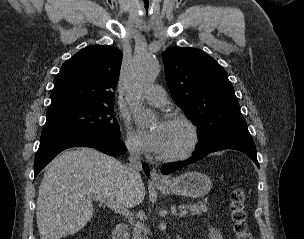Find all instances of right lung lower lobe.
I'll return each instance as SVG.
<instances>
[{"instance_id":"obj_1","label":"right lung lower lobe","mask_w":304,"mask_h":239,"mask_svg":"<svg viewBox=\"0 0 304 239\" xmlns=\"http://www.w3.org/2000/svg\"><path fill=\"white\" fill-rule=\"evenodd\" d=\"M70 147H92L105 154L117 156L126 151L120 139L88 133H60L41 136L34 162V177L61 151ZM149 175V166L143 163Z\"/></svg>"}]
</instances>
